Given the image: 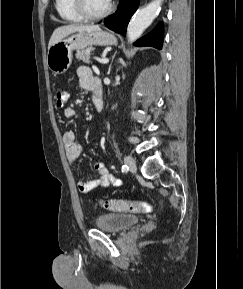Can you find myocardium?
Returning a JSON list of instances; mask_svg holds the SVG:
<instances>
[{
	"label": "myocardium",
	"instance_id": "f54148a6",
	"mask_svg": "<svg viewBox=\"0 0 243 289\" xmlns=\"http://www.w3.org/2000/svg\"><path fill=\"white\" fill-rule=\"evenodd\" d=\"M74 8L77 13L87 20H97L108 16L114 8L113 1L110 0L108 7L100 13H91L86 6L85 0H73Z\"/></svg>",
	"mask_w": 243,
	"mask_h": 289
}]
</instances>
